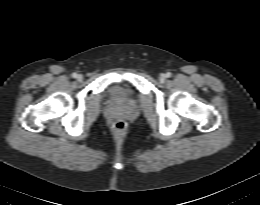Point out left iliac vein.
<instances>
[{
    "mask_svg": "<svg viewBox=\"0 0 260 205\" xmlns=\"http://www.w3.org/2000/svg\"><path fill=\"white\" fill-rule=\"evenodd\" d=\"M159 79H160L161 82H164L165 79H166L165 74H161L160 77H159Z\"/></svg>",
    "mask_w": 260,
    "mask_h": 205,
    "instance_id": "1",
    "label": "left iliac vein"
}]
</instances>
